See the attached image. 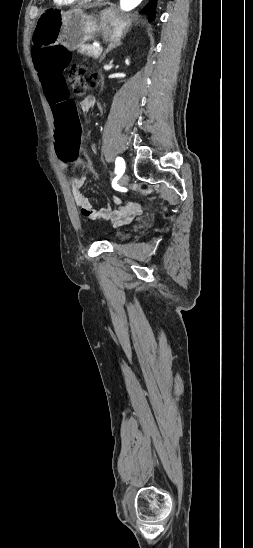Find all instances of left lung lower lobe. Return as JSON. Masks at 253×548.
<instances>
[{
    "mask_svg": "<svg viewBox=\"0 0 253 548\" xmlns=\"http://www.w3.org/2000/svg\"><path fill=\"white\" fill-rule=\"evenodd\" d=\"M156 7V0H150V2L146 5L145 11H147L150 15H154Z\"/></svg>",
    "mask_w": 253,
    "mask_h": 548,
    "instance_id": "0a47b994",
    "label": "left lung lower lobe"
}]
</instances>
